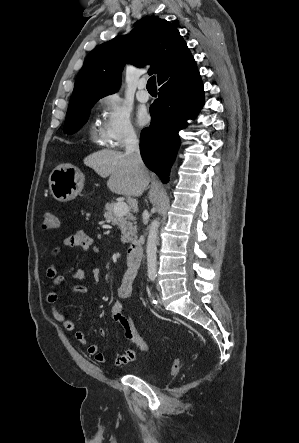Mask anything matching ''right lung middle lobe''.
Wrapping results in <instances>:
<instances>
[{"instance_id": "1", "label": "right lung middle lobe", "mask_w": 299, "mask_h": 443, "mask_svg": "<svg viewBox=\"0 0 299 443\" xmlns=\"http://www.w3.org/2000/svg\"><path fill=\"white\" fill-rule=\"evenodd\" d=\"M97 101L98 100L88 101L69 108L66 115L64 132L69 135L77 132L87 121L90 110Z\"/></svg>"}]
</instances>
